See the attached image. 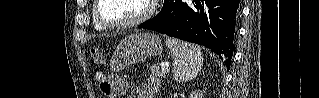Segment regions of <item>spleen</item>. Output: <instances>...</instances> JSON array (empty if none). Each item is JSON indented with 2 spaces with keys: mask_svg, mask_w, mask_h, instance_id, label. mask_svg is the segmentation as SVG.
Wrapping results in <instances>:
<instances>
[{
  "mask_svg": "<svg viewBox=\"0 0 319 98\" xmlns=\"http://www.w3.org/2000/svg\"><path fill=\"white\" fill-rule=\"evenodd\" d=\"M166 45L175 56L173 77L178 82L194 79L203 65V55L198 46L173 38L166 39Z\"/></svg>",
  "mask_w": 319,
  "mask_h": 98,
  "instance_id": "spleen-1",
  "label": "spleen"
}]
</instances>
